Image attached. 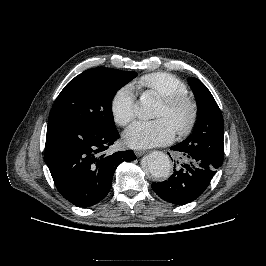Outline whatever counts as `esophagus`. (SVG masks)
Returning a JSON list of instances; mask_svg holds the SVG:
<instances>
[{
	"mask_svg": "<svg viewBox=\"0 0 266 266\" xmlns=\"http://www.w3.org/2000/svg\"><path fill=\"white\" fill-rule=\"evenodd\" d=\"M146 153L145 150H135V154L137 157H141Z\"/></svg>",
	"mask_w": 266,
	"mask_h": 266,
	"instance_id": "esophagus-1",
	"label": "esophagus"
}]
</instances>
